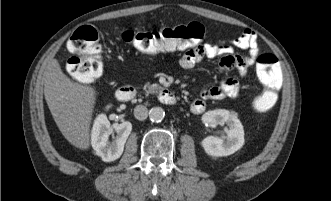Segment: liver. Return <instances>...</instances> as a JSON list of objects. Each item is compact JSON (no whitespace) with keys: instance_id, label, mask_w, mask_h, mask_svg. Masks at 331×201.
<instances>
[{"instance_id":"6515ba94","label":"liver","mask_w":331,"mask_h":201,"mask_svg":"<svg viewBox=\"0 0 331 201\" xmlns=\"http://www.w3.org/2000/svg\"><path fill=\"white\" fill-rule=\"evenodd\" d=\"M43 79L45 100L60 132L73 146L88 149L96 100L94 88L71 81L57 59L47 62Z\"/></svg>"}]
</instances>
